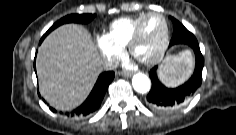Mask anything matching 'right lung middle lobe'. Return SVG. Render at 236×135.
I'll list each match as a JSON object with an SVG mask.
<instances>
[{
    "label": "right lung middle lobe",
    "mask_w": 236,
    "mask_h": 135,
    "mask_svg": "<svg viewBox=\"0 0 236 135\" xmlns=\"http://www.w3.org/2000/svg\"><path fill=\"white\" fill-rule=\"evenodd\" d=\"M95 17V14H71L68 16L63 17L59 21H57L46 33H50L53 29L56 27L64 24V23H70V22H75V23H89L93 18Z\"/></svg>",
    "instance_id": "obj_1"
}]
</instances>
